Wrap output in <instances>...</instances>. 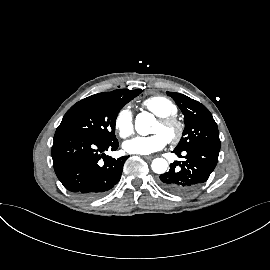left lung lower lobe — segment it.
Returning <instances> with one entry per match:
<instances>
[{
  "label": "left lung lower lobe",
  "mask_w": 270,
  "mask_h": 270,
  "mask_svg": "<svg viewBox=\"0 0 270 270\" xmlns=\"http://www.w3.org/2000/svg\"><path fill=\"white\" fill-rule=\"evenodd\" d=\"M173 152L183 161L170 164V170L160 175L159 184L164 190L177 195H186L200 188L218 162L219 150L212 148L193 147L174 149Z\"/></svg>",
  "instance_id": "obj_1"
}]
</instances>
